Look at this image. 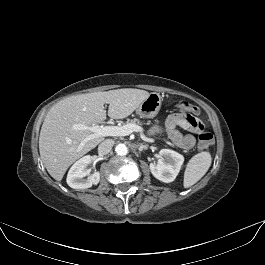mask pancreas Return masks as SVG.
<instances>
[{
	"label": "pancreas",
	"mask_w": 265,
	"mask_h": 265,
	"mask_svg": "<svg viewBox=\"0 0 265 265\" xmlns=\"http://www.w3.org/2000/svg\"><path fill=\"white\" fill-rule=\"evenodd\" d=\"M128 124H141L139 119H133Z\"/></svg>",
	"instance_id": "cf45deb5"
}]
</instances>
